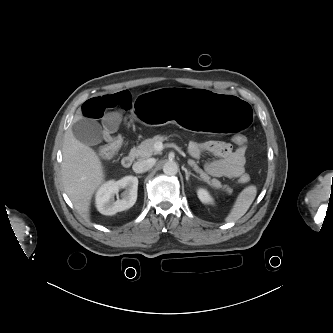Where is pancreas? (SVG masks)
<instances>
[{"label": "pancreas", "mask_w": 333, "mask_h": 333, "mask_svg": "<svg viewBox=\"0 0 333 333\" xmlns=\"http://www.w3.org/2000/svg\"><path fill=\"white\" fill-rule=\"evenodd\" d=\"M165 140H167V138L161 135H156L153 138L146 139L137 148H133L131 150V155L139 158H148L158 153V151H156L154 147L155 143L163 142ZM188 164L193 167L196 173L199 174L201 180L207 182L209 185L217 189L222 188L228 194L232 193V189L229 186L222 185L221 182L215 178L211 179L207 173H205L200 167H198L194 160L190 159L188 161Z\"/></svg>", "instance_id": "obj_1"}]
</instances>
